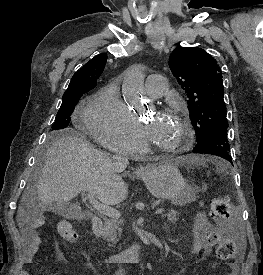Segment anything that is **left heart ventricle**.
Returning a JSON list of instances; mask_svg holds the SVG:
<instances>
[{"instance_id":"b2bd125f","label":"left heart ventricle","mask_w":263,"mask_h":275,"mask_svg":"<svg viewBox=\"0 0 263 275\" xmlns=\"http://www.w3.org/2000/svg\"><path fill=\"white\" fill-rule=\"evenodd\" d=\"M180 130L176 121L170 117H163L155 133L150 139L153 145L170 146L176 143Z\"/></svg>"}]
</instances>
